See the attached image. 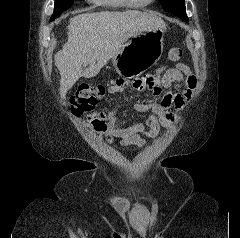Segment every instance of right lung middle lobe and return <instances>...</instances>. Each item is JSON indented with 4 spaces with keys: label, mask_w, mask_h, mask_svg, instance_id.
Returning a JSON list of instances; mask_svg holds the SVG:
<instances>
[{
    "label": "right lung middle lobe",
    "mask_w": 240,
    "mask_h": 238,
    "mask_svg": "<svg viewBox=\"0 0 240 238\" xmlns=\"http://www.w3.org/2000/svg\"><path fill=\"white\" fill-rule=\"evenodd\" d=\"M73 4V0H55L54 13L51 16V21L56 19L63 11L68 9Z\"/></svg>",
    "instance_id": "obj_1"
}]
</instances>
